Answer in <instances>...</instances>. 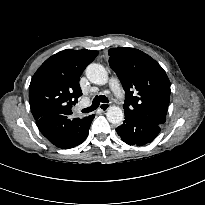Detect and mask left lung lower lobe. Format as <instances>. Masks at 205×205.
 <instances>
[{
  "label": "left lung lower lobe",
  "instance_id": "1",
  "mask_svg": "<svg viewBox=\"0 0 205 205\" xmlns=\"http://www.w3.org/2000/svg\"><path fill=\"white\" fill-rule=\"evenodd\" d=\"M159 124L125 115V120L116 129L117 134L128 145L142 146L152 142L160 133Z\"/></svg>",
  "mask_w": 205,
  "mask_h": 205
}]
</instances>
